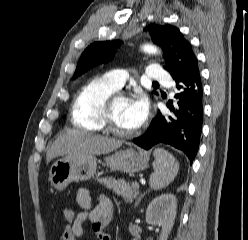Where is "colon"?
Listing matches in <instances>:
<instances>
[{"mask_svg": "<svg viewBox=\"0 0 248 240\" xmlns=\"http://www.w3.org/2000/svg\"><path fill=\"white\" fill-rule=\"evenodd\" d=\"M62 215H63V219L66 223L71 222L75 215H76V211L73 207H65L62 211Z\"/></svg>", "mask_w": 248, "mask_h": 240, "instance_id": "1", "label": "colon"}]
</instances>
